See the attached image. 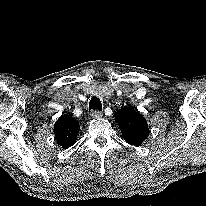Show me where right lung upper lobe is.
<instances>
[{
  "label": "right lung upper lobe",
  "mask_w": 206,
  "mask_h": 206,
  "mask_svg": "<svg viewBox=\"0 0 206 206\" xmlns=\"http://www.w3.org/2000/svg\"><path fill=\"white\" fill-rule=\"evenodd\" d=\"M80 125L70 115L60 117L54 125V134L58 145L68 148L75 144Z\"/></svg>",
  "instance_id": "right-lung-upper-lobe-1"
}]
</instances>
